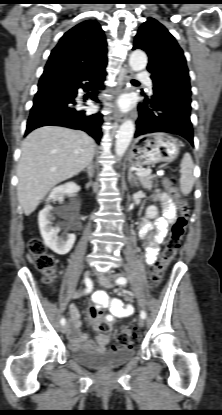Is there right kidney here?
Listing matches in <instances>:
<instances>
[{
    "label": "right kidney",
    "instance_id": "right-kidney-1",
    "mask_svg": "<svg viewBox=\"0 0 222 415\" xmlns=\"http://www.w3.org/2000/svg\"><path fill=\"white\" fill-rule=\"evenodd\" d=\"M79 187L73 183L69 182L64 185L53 188L51 191L48 200L56 201L63 199L64 196H72L78 191ZM53 212L59 216L64 215V209L59 208L54 210L51 205H46L40 212L38 216L39 228L44 243L49 247L53 252L59 255L67 254L73 247L76 240L75 234H67L66 236H58L59 228L52 226Z\"/></svg>",
    "mask_w": 222,
    "mask_h": 415
}]
</instances>
